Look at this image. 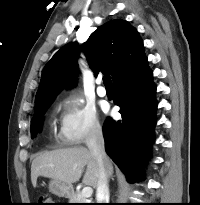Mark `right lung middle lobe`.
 I'll use <instances>...</instances> for the list:
<instances>
[{
    "mask_svg": "<svg viewBox=\"0 0 200 205\" xmlns=\"http://www.w3.org/2000/svg\"><path fill=\"white\" fill-rule=\"evenodd\" d=\"M53 99H48L43 101L38 108L31 120V135L34 137L36 132H40L42 123H43V115L45 114L48 107L51 105Z\"/></svg>",
    "mask_w": 200,
    "mask_h": 205,
    "instance_id": "obj_1",
    "label": "right lung middle lobe"
}]
</instances>
